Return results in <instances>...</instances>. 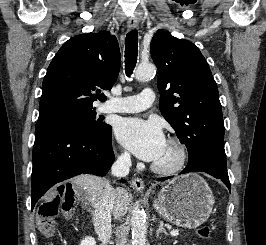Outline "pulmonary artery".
<instances>
[{
	"mask_svg": "<svg viewBox=\"0 0 266 245\" xmlns=\"http://www.w3.org/2000/svg\"><path fill=\"white\" fill-rule=\"evenodd\" d=\"M153 101V91H142L140 95L127 96L126 98L110 97L102 106V111L105 113H135L149 108Z\"/></svg>",
	"mask_w": 266,
	"mask_h": 245,
	"instance_id": "obj_1",
	"label": "pulmonary artery"
}]
</instances>
